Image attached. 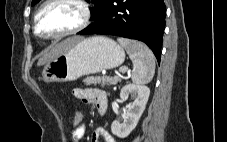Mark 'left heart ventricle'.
<instances>
[{
  "label": "left heart ventricle",
  "mask_w": 227,
  "mask_h": 142,
  "mask_svg": "<svg viewBox=\"0 0 227 142\" xmlns=\"http://www.w3.org/2000/svg\"><path fill=\"white\" fill-rule=\"evenodd\" d=\"M82 19L80 7L73 2L53 3L40 13L38 29L42 34L52 35L76 27Z\"/></svg>",
  "instance_id": "obj_1"
}]
</instances>
